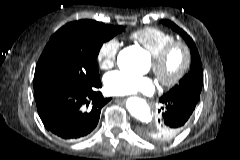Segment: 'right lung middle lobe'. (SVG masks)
Segmentation results:
<instances>
[{
	"mask_svg": "<svg viewBox=\"0 0 240 160\" xmlns=\"http://www.w3.org/2000/svg\"><path fill=\"white\" fill-rule=\"evenodd\" d=\"M124 30L93 20L70 22L50 38L34 75V91L53 83L89 88L100 80L96 58L102 44Z\"/></svg>",
	"mask_w": 240,
	"mask_h": 160,
	"instance_id": "1",
	"label": "right lung middle lobe"
}]
</instances>
